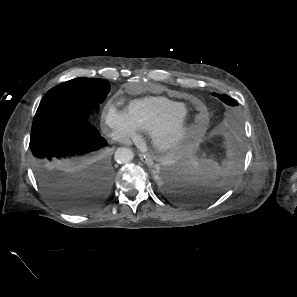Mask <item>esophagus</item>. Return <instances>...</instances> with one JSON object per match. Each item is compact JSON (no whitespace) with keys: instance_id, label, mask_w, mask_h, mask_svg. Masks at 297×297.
Returning a JSON list of instances; mask_svg holds the SVG:
<instances>
[{"instance_id":"obj_1","label":"esophagus","mask_w":297,"mask_h":297,"mask_svg":"<svg viewBox=\"0 0 297 297\" xmlns=\"http://www.w3.org/2000/svg\"><path fill=\"white\" fill-rule=\"evenodd\" d=\"M140 158L142 162H144L148 166H152L154 164L152 157L148 154H141Z\"/></svg>"}]
</instances>
